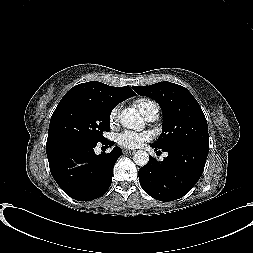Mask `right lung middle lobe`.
Listing matches in <instances>:
<instances>
[{
    "label": "right lung middle lobe",
    "mask_w": 253,
    "mask_h": 253,
    "mask_svg": "<svg viewBox=\"0 0 253 253\" xmlns=\"http://www.w3.org/2000/svg\"><path fill=\"white\" fill-rule=\"evenodd\" d=\"M112 109L100 101L62 98L51 117L46 146L68 140L105 141L103 133L110 130Z\"/></svg>",
    "instance_id": "dd1d6c3e"
}]
</instances>
